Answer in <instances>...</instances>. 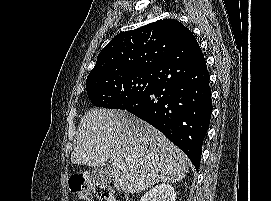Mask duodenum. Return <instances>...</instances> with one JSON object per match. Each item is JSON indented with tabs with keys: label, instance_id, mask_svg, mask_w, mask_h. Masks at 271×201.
Instances as JSON below:
<instances>
[{
	"label": "duodenum",
	"instance_id": "1",
	"mask_svg": "<svg viewBox=\"0 0 271 201\" xmlns=\"http://www.w3.org/2000/svg\"><path fill=\"white\" fill-rule=\"evenodd\" d=\"M125 199L127 200V195H125Z\"/></svg>",
	"mask_w": 271,
	"mask_h": 201
}]
</instances>
